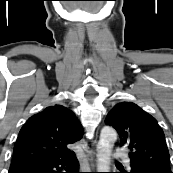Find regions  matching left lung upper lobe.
Instances as JSON below:
<instances>
[{
    "label": "left lung upper lobe",
    "instance_id": "5c2ea615",
    "mask_svg": "<svg viewBox=\"0 0 173 173\" xmlns=\"http://www.w3.org/2000/svg\"><path fill=\"white\" fill-rule=\"evenodd\" d=\"M105 122L117 130L120 145L129 148L131 166L173 173L163 130L154 117L132 102H121L108 113Z\"/></svg>",
    "mask_w": 173,
    "mask_h": 173
}]
</instances>
